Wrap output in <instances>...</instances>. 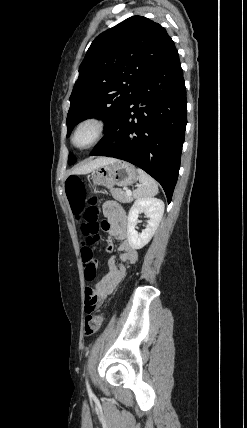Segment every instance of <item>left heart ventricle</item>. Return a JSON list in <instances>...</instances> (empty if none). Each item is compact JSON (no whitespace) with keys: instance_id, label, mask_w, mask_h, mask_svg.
Listing matches in <instances>:
<instances>
[{"instance_id":"b2bd125f","label":"left heart ventricle","mask_w":247,"mask_h":428,"mask_svg":"<svg viewBox=\"0 0 247 428\" xmlns=\"http://www.w3.org/2000/svg\"><path fill=\"white\" fill-rule=\"evenodd\" d=\"M93 136V129L91 127L83 128L76 137V142L79 145L87 144Z\"/></svg>"}]
</instances>
